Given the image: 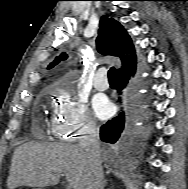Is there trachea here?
Masks as SVG:
<instances>
[{
	"mask_svg": "<svg viewBox=\"0 0 188 189\" xmlns=\"http://www.w3.org/2000/svg\"><path fill=\"white\" fill-rule=\"evenodd\" d=\"M108 79L111 83L117 82V73L114 67H111L110 70L108 71Z\"/></svg>",
	"mask_w": 188,
	"mask_h": 189,
	"instance_id": "1",
	"label": "trachea"
}]
</instances>
